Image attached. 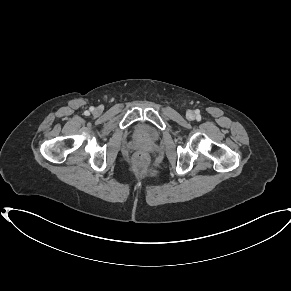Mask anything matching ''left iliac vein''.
I'll return each mask as SVG.
<instances>
[{"instance_id": "left-iliac-vein-1", "label": "left iliac vein", "mask_w": 291, "mask_h": 291, "mask_svg": "<svg viewBox=\"0 0 291 291\" xmlns=\"http://www.w3.org/2000/svg\"><path fill=\"white\" fill-rule=\"evenodd\" d=\"M187 116H188L189 119H194L195 114H194L193 111H188Z\"/></svg>"}]
</instances>
